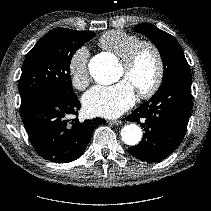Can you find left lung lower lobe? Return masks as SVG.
Returning a JSON list of instances; mask_svg holds the SVG:
<instances>
[{"label": "left lung lower lobe", "instance_id": "0a47b994", "mask_svg": "<svg viewBox=\"0 0 211 211\" xmlns=\"http://www.w3.org/2000/svg\"><path fill=\"white\" fill-rule=\"evenodd\" d=\"M191 75H180L161 86L155 95L127 116L144 128L132 156L147 162L167 158L182 142L192 110Z\"/></svg>", "mask_w": 211, "mask_h": 211}]
</instances>
